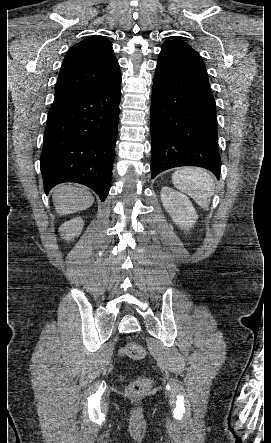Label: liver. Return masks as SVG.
Masks as SVG:
<instances>
[{
    "instance_id": "6515ba94",
    "label": "liver",
    "mask_w": 271,
    "mask_h": 443,
    "mask_svg": "<svg viewBox=\"0 0 271 443\" xmlns=\"http://www.w3.org/2000/svg\"><path fill=\"white\" fill-rule=\"evenodd\" d=\"M52 200L60 216L74 214L94 204V198L86 188H75V186H60L55 190Z\"/></svg>"
}]
</instances>
